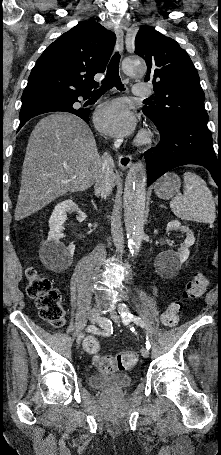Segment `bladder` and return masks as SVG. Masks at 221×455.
Returning a JSON list of instances; mask_svg holds the SVG:
<instances>
[{
  "mask_svg": "<svg viewBox=\"0 0 221 455\" xmlns=\"http://www.w3.org/2000/svg\"><path fill=\"white\" fill-rule=\"evenodd\" d=\"M132 379L128 374H101L94 373L89 376L88 383L93 389L103 391H120L131 385Z\"/></svg>",
  "mask_w": 221,
  "mask_h": 455,
  "instance_id": "obj_1",
  "label": "bladder"
}]
</instances>
